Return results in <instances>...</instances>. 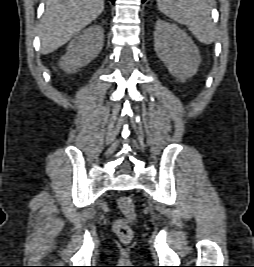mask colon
Listing matches in <instances>:
<instances>
[{
    "label": "colon",
    "mask_w": 254,
    "mask_h": 267,
    "mask_svg": "<svg viewBox=\"0 0 254 267\" xmlns=\"http://www.w3.org/2000/svg\"><path fill=\"white\" fill-rule=\"evenodd\" d=\"M118 206L125 218L116 220L113 229L122 242H129L133 238V230L130 223L136 217L133 201L129 196H122L118 199Z\"/></svg>",
    "instance_id": "1"
}]
</instances>
